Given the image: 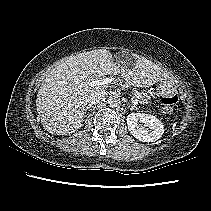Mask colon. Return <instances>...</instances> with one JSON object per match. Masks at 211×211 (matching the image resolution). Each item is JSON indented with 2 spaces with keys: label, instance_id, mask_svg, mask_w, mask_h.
<instances>
[{
  "label": "colon",
  "instance_id": "colon-1",
  "mask_svg": "<svg viewBox=\"0 0 211 211\" xmlns=\"http://www.w3.org/2000/svg\"><path fill=\"white\" fill-rule=\"evenodd\" d=\"M179 97L177 94L165 96L162 98L164 110L168 113L172 111V107L178 102Z\"/></svg>",
  "mask_w": 211,
  "mask_h": 211
}]
</instances>
